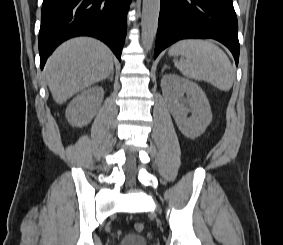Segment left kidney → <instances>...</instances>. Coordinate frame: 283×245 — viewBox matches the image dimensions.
I'll return each instance as SVG.
<instances>
[{
	"label": "left kidney",
	"mask_w": 283,
	"mask_h": 245,
	"mask_svg": "<svg viewBox=\"0 0 283 245\" xmlns=\"http://www.w3.org/2000/svg\"><path fill=\"white\" fill-rule=\"evenodd\" d=\"M163 96L175 122L188 138L202 135L212 120V112L203 90L194 82L175 74H166L161 80ZM189 97L190 107L180 104L182 95ZM191 112L192 116L188 117Z\"/></svg>",
	"instance_id": "1"
}]
</instances>
